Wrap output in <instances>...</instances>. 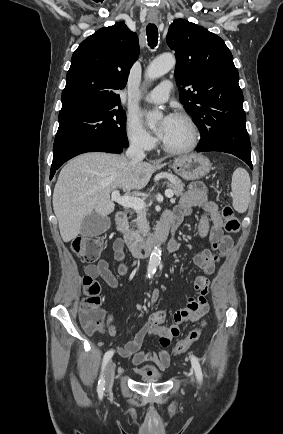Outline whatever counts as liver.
Returning a JSON list of instances; mask_svg holds the SVG:
<instances>
[{
    "instance_id": "1",
    "label": "liver",
    "mask_w": 283,
    "mask_h": 434,
    "mask_svg": "<svg viewBox=\"0 0 283 434\" xmlns=\"http://www.w3.org/2000/svg\"><path fill=\"white\" fill-rule=\"evenodd\" d=\"M163 164L132 162L124 155L91 152L69 161L61 170L53 192V209L64 242L75 239L84 218L92 212L107 216L115 204L117 188L141 190Z\"/></svg>"
}]
</instances>
